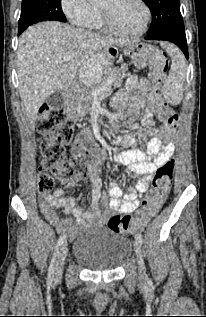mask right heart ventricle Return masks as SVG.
<instances>
[{
  "instance_id": "obj_1",
  "label": "right heart ventricle",
  "mask_w": 206,
  "mask_h": 317,
  "mask_svg": "<svg viewBox=\"0 0 206 317\" xmlns=\"http://www.w3.org/2000/svg\"><path fill=\"white\" fill-rule=\"evenodd\" d=\"M89 27H91L93 29H99V30L106 29L100 7H98V6H95V15H94Z\"/></svg>"
}]
</instances>
